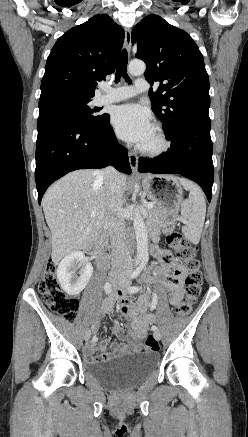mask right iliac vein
I'll return each instance as SVG.
<instances>
[{"mask_svg": "<svg viewBox=\"0 0 248 437\" xmlns=\"http://www.w3.org/2000/svg\"><path fill=\"white\" fill-rule=\"evenodd\" d=\"M117 280H118V276L117 275H112L111 277H110V281H111V283L113 284V285H115L116 283H117ZM90 338V334H89V332H86L85 334H84V339L85 340H88Z\"/></svg>", "mask_w": 248, "mask_h": 437, "instance_id": "63e3f726", "label": "right iliac vein"}]
</instances>
